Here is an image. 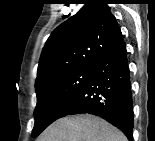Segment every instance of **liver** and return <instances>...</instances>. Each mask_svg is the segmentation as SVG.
Here are the masks:
<instances>
[{
  "label": "liver",
  "mask_w": 155,
  "mask_h": 141,
  "mask_svg": "<svg viewBox=\"0 0 155 141\" xmlns=\"http://www.w3.org/2000/svg\"><path fill=\"white\" fill-rule=\"evenodd\" d=\"M39 141H127V138L100 117L74 115L55 121L42 133Z\"/></svg>",
  "instance_id": "obj_1"
}]
</instances>
